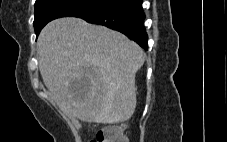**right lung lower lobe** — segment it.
I'll use <instances>...</instances> for the list:
<instances>
[{
    "label": "right lung lower lobe",
    "mask_w": 227,
    "mask_h": 142,
    "mask_svg": "<svg viewBox=\"0 0 227 142\" xmlns=\"http://www.w3.org/2000/svg\"><path fill=\"white\" fill-rule=\"evenodd\" d=\"M76 17L117 30L142 48L148 49V36L143 26L145 15L142 0H111L103 7Z\"/></svg>",
    "instance_id": "obj_1"
}]
</instances>
